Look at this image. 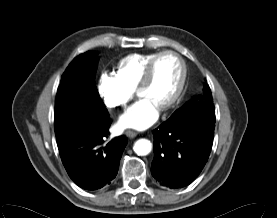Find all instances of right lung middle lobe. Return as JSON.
I'll return each instance as SVG.
<instances>
[{
	"instance_id": "1",
	"label": "right lung middle lobe",
	"mask_w": 277,
	"mask_h": 218,
	"mask_svg": "<svg viewBox=\"0 0 277 218\" xmlns=\"http://www.w3.org/2000/svg\"><path fill=\"white\" fill-rule=\"evenodd\" d=\"M97 63V53L88 51L76 57L62 76L54 112L58 147L108 115L94 82ZM67 87H76L74 96L62 92Z\"/></svg>"
}]
</instances>
